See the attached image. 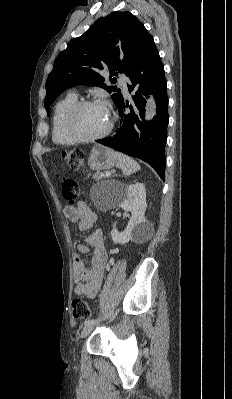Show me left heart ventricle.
I'll use <instances>...</instances> for the list:
<instances>
[{
  "label": "left heart ventricle",
  "instance_id": "left-heart-ventricle-1",
  "mask_svg": "<svg viewBox=\"0 0 232 399\" xmlns=\"http://www.w3.org/2000/svg\"><path fill=\"white\" fill-rule=\"evenodd\" d=\"M110 111L101 104L82 108L74 119L75 131L83 137H95L102 134L109 126Z\"/></svg>",
  "mask_w": 232,
  "mask_h": 399
}]
</instances>
